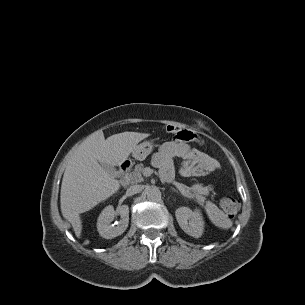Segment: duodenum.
<instances>
[{"mask_svg":"<svg viewBox=\"0 0 305 305\" xmlns=\"http://www.w3.org/2000/svg\"><path fill=\"white\" fill-rule=\"evenodd\" d=\"M129 169H130V165L128 163H122L119 166V170L121 171L122 176H126Z\"/></svg>","mask_w":305,"mask_h":305,"instance_id":"410a0bca","label":"duodenum"}]
</instances>
